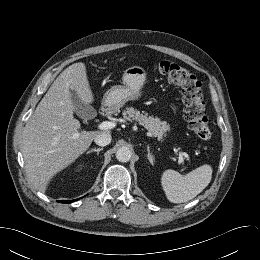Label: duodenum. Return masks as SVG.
I'll list each match as a JSON object with an SVG mask.
<instances>
[{"label":"duodenum","instance_id":"1","mask_svg":"<svg viewBox=\"0 0 260 260\" xmlns=\"http://www.w3.org/2000/svg\"><path fill=\"white\" fill-rule=\"evenodd\" d=\"M107 110H108V107L107 106H103L101 108V110H100V113L104 115V114H106Z\"/></svg>","mask_w":260,"mask_h":260}]
</instances>
